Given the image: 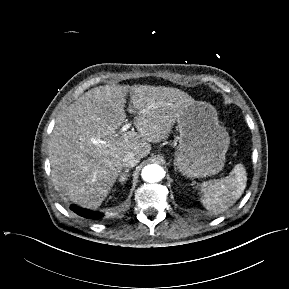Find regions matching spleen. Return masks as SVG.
Returning <instances> with one entry per match:
<instances>
[{"label": "spleen", "mask_w": 289, "mask_h": 289, "mask_svg": "<svg viewBox=\"0 0 289 289\" xmlns=\"http://www.w3.org/2000/svg\"><path fill=\"white\" fill-rule=\"evenodd\" d=\"M247 183V173L243 164H237L229 176L221 180H211L201 184V203L215 212L231 207L243 194Z\"/></svg>", "instance_id": "3e777b00"}]
</instances>
